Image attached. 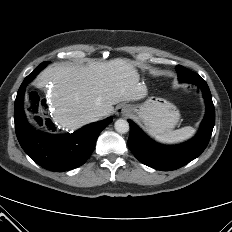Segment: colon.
Returning <instances> with one entry per match:
<instances>
[{
    "instance_id": "5ec220e1",
    "label": "colon",
    "mask_w": 232,
    "mask_h": 232,
    "mask_svg": "<svg viewBox=\"0 0 232 232\" xmlns=\"http://www.w3.org/2000/svg\"><path fill=\"white\" fill-rule=\"evenodd\" d=\"M188 90L190 91L191 89L189 88ZM45 107L46 102L38 93L31 92L29 94V109L35 119H43Z\"/></svg>"
}]
</instances>
